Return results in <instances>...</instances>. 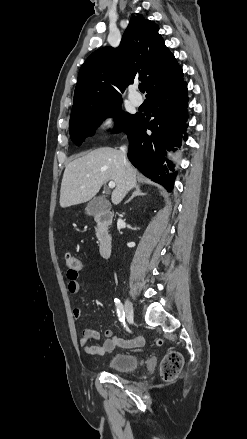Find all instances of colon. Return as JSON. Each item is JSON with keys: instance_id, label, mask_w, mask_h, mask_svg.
I'll return each instance as SVG.
<instances>
[{"instance_id": "1", "label": "colon", "mask_w": 247, "mask_h": 439, "mask_svg": "<svg viewBox=\"0 0 247 439\" xmlns=\"http://www.w3.org/2000/svg\"><path fill=\"white\" fill-rule=\"evenodd\" d=\"M66 264L69 270L79 272L84 269V262L76 257L74 254H66ZM183 366V357L180 353L171 351L168 352L162 359L160 365V374L165 382L174 381Z\"/></svg>"}]
</instances>
